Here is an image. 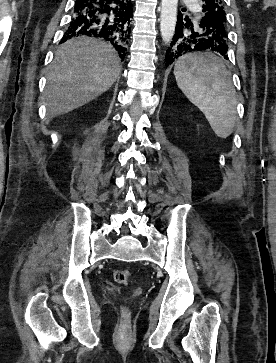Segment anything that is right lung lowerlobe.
Wrapping results in <instances>:
<instances>
[{
  "label": "right lung lower lobe",
  "mask_w": 276,
  "mask_h": 363,
  "mask_svg": "<svg viewBox=\"0 0 276 363\" xmlns=\"http://www.w3.org/2000/svg\"><path fill=\"white\" fill-rule=\"evenodd\" d=\"M131 0H76L72 19L61 43L76 36H93L110 42L124 59L130 39Z\"/></svg>",
  "instance_id": "right-lung-lower-lobe-1"
}]
</instances>
